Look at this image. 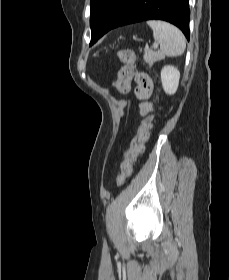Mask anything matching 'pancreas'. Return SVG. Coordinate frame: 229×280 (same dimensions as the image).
Here are the masks:
<instances>
[{
  "instance_id": "pancreas-1",
  "label": "pancreas",
  "mask_w": 229,
  "mask_h": 280,
  "mask_svg": "<svg viewBox=\"0 0 229 280\" xmlns=\"http://www.w3.org/2000/svg\"><path fill=\"white\" fill-rule=\"evenodd\" d=\"M162 59V55L157 51H152L150 49H145L144 51V61L152 66L156 61Z\"/></svg>"
}]
</instances>
